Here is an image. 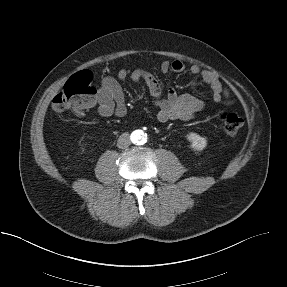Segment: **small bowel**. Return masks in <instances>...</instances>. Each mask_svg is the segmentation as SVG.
Listing matches in <instances>:
<instances>
[{"label": "small bowel", "mask_w": 287, "mask_h": 287, "mask_svg": "<svg viewBox=\"0 0 287 287\" xmlns=\"http://www.w3.org/2000/svg\"><path fill=\"white\" fill-rule=\"evenodd\" d=\"M163 73H182L186 71L185 64L180 60L163 61L160 65ZM188 72L198 76L206 83L211 90L210 101L216 105H228L232 103L228 89L223 85L219 76L211 70L201 69L198 65H192ZM130 78L135 83H144L154 99L158 109L157 119L160 122L172 120H190L205 107V101L201 98L189 94H179L169 85L166 94H163V87L158 79L150 72L143 69L128 71L120 69L117 79L105 76L101 80V85L95 101L97 112L101 117L117 116L123 117L127 113L125 95L119 81ZM79 116L83 112H78Z\"/></svg>", "instance_id": "c3829d8e"}]
</instances>
